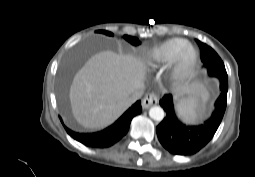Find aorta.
<instances>
[{
	"label": "aorta",
	"instance_id": "762f6f07",
	"mask_svg": "<svg viewBox=\"0 0 255 177\" xmlns=\"http://www.w3.org/2000/svg\"><path fill=\"white\" fill-rule=\"evenodd\" d=\"M164 115V110L159 106H153L149 110V116L155 121H162Z\"/></svg>",
	"mask_w": 255,
	"mask_h": 177
}]
</instances>
